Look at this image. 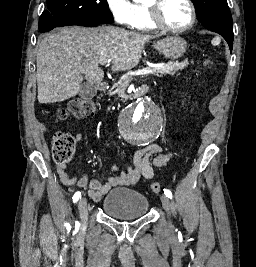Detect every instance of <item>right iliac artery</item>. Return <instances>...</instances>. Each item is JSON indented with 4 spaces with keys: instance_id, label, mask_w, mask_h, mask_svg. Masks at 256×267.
<instances>
[{
    "instance_id": "obj_1",
    "label": "right iliac artery",
    "mask_w": 256,
    "mask_h": 267,
    "mask_svg": "<svg viewBox=\"0 0 256 267\" xmlns=\"http://www.w3.org/2000/svg\"><path fill=\"white\" fill-rule=\"evenodd\" d=\"M81 198V192H76L73 196V202L76 203Z\"/></svg>"
}]
</instances>
